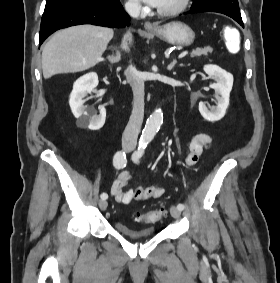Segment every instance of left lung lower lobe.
<instances>
[{
  "label": "left lung lower lobe",
  "mask_w": 280,
  "mask_h": 283,
  "mask_svg": "<svg viewBox=\"0 0 280 283\" xmlns=\"http://www.w3.org/2000/svg\"><path fill=\"white\" fill-rule=\"evenodd\" d=\"M199 12H216L213 10H209V9H191L190 11H188L187 13H199ZM220 13V12H219ZM233 18L235 21H237L242 27H244L243 25V21L242 18H237V17H231Z\"/></svg>",
  "instance_id": "0a47b994"
}]
</instances>
